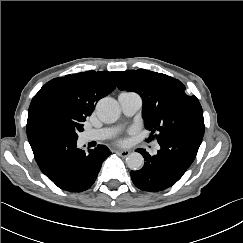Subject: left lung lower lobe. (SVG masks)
I'll return each mask as SVG.
<instances>
[{"instance_id":"1","label":"left lung lower lobe","mask_w":243,"mask_h":243,"mask_svg":"<svg viewBox=\"0 0 243 243\" xmlns=\"http://www.w3.org/2000/svg\"><path fill=\"white\" fill-rule=\"evenodd\" d=\"M204 125H191L177 130L161 142L155 156L138 149L146 161L131 179L143 191L158 192L173 186L193 163L204 135Z\"/></svg>"}]
</instances>
